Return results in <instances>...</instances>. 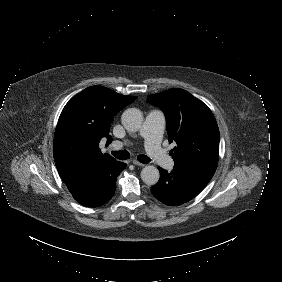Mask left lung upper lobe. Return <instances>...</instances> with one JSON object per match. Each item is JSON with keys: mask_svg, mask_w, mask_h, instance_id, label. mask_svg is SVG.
I'll list each match as a JSON object with an SVG mask.
<instances>
[{"mask_svg": "<svg viewBox=\"0 0 282 282\" xmlns=\"http://www.w3.org/2000/svg\"><path fill=\"white\" fill-rule=\"evenodd\" d=\"M147 101L165 114L169 143L176 144L170 151L175 165L218 163L219 129L206 104L178 88L149 95Z\"/></svg>", "mask_w": 282, "mask_h": 282, "instance_id": "left-lung-upper-lobe-1", "label": "left lung upper lobe"}]
</instances>
